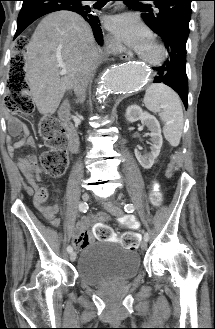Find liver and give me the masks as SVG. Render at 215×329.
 I'll list each match as a JSON object with an SVG mask.
<instances>
[{
	"mask_svg": "<svg viewBox=\"0 0 215 329\" xmlns=\"http://www.w3.org/2000/svg\"><path fill=\"white\" fill-rule=\"evenodd\" d=\"M98 49L88 23L78 14L58 11L38 24L25 54V72L32 101L43 115L56 112L73 87L85 56ZM61 65L67 73L61 75Z\"/></svg>",
	"mask_w": 215,
	"mask_h": 329,
	"instance_id": "obj_1",
	"label": "liver"
}]
</instances>
